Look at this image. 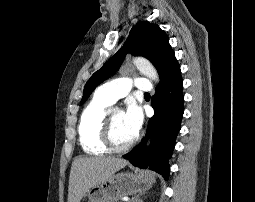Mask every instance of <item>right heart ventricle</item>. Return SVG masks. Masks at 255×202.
Wrapping results in <instances>:
<instances>
[{
  "instance_id": "e07e8e85",
  "label": "right heart ventricle",
  "mask_w": 255,
  "mask_h": 202,
  "mask_svg": "<svg viewBox=\"0 0 255 202\" xmlns=\"http://www.w3.org/2000/svg\"><path fill=\"white\" fill-rule=\"evenodd\" d=\"M109 105L110 103L95 94L81 115L79 138L83 150L88 154L102 155L108 152L101 141V128Z\"/></svg>"
}]
</instances>
